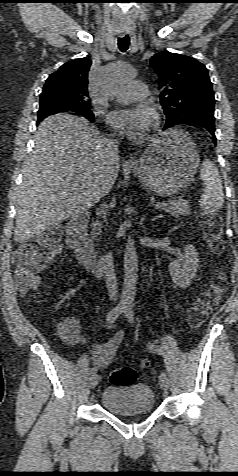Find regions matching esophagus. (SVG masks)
I'll return each mask as SVG.
<instances>
[{
	"instance_id": "obj_1",
	"label": "esophagus",
	"mask_w": 238,
	"mask_h": 476,
	"mask_svg": "<svg viewBox=\"0 0 238 476\" xmlns=\"http://www.w3.org/2000/svg\"><path fill=\"white\" fill-rule=\"evenodd\" d=\"M125 164L131 166V165L134 164V161H133L132 159H127V160L125 161Z\"/></svg>"
}]
</instances>
